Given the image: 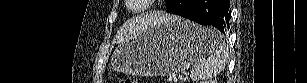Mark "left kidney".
Instances as JSON below:
<instances>
[{
    "instance_id": "5707ae66",
    "label": "left kidney",
    "mask_w": 307,
    "mask_h": 83,
    "mask_svg": "<svg viewBox=\"0 0 307 83\" xmlns=\"http://www.w3.org/2000/svg\"><path fill=\"white\" fill-rule=\"evenodd\" d=\"M205 83H215L214 81H208V82H205Z\"/></svg>"
}]
</instances>
